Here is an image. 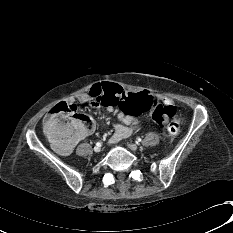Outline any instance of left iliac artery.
I'll use <instances>...</instances> for the list:
<instances>
[{
  "label": "left iliac artery",
  "instance_id": "left-iliac-artery-1",
  "mask_svg": "<svg viewBox=\"0 0 233 233\" xmlns=\"http://www.w3.org/2000/svg\"><path fill=\"white\" fill-rule=\"evenodd\" d=\"M141 141H142L141 138H137L135 142H136L137 144H139Z\"/></svg>",
  "mask_w": 233,
  "mask_h": 233
}]
</instances>
